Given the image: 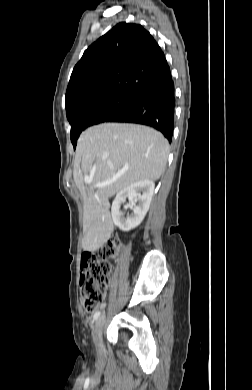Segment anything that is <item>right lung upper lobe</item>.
Returning <instances> with one entry per match:
<instances>
[{
  "label": "right lung upper lobe",
  "mask_w": 252,
  "mask_h": 390,
  "mask_svg": "<svg viewBox=\"0 0 252 390\" xmlns=\"http://www.w3.org/2000/svg\"><path fill=\"white\" fill-rule=\"evenodd\" d=\"M170 74L152 35L141 25L119 23L89 46L75 65L65 95L66 113L111 95L135 96Z\"/></svg>",
  "instance_id": "right-lung-upper-lobe-1"
}]
</instances>
